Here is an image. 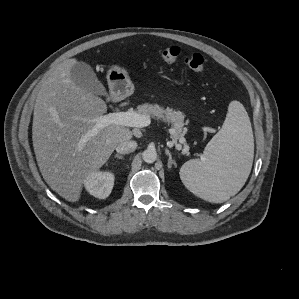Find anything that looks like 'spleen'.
<instances>
[{
  "label": "spleen",
  "instance_id": "spleen-1",
  "mask_svg": "<svg viewBox=\"0 0 299 299\" xmlns=\"http://www.w3.org/2000/svg\"><path fill=\"white\" fill-rule=\"evenodd\" d=\"M254 139L244 106L232 101L221 130L206 145L201 159L180 169V178L193 194L222 203L244 186L252 168Z\"/></svg>",
  "mask_w": 299,
  "mask_h": 299
}]
</instances>
